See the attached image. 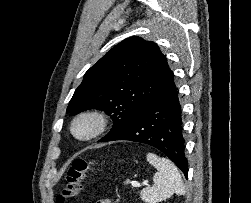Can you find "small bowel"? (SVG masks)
<instances>
[{"mask_svg":"<svg viewBox=\"0 0 251 203\" xmlns=\"http://www.w3.org/2000/svg\"><path fill=\"white\" fill-rule=\"evenodd\" d=\"M98 203H112V202L108 199H105V200H100Z\"/></svg>","mask_w":251,"mask_h":203,"instance_id":"small-bowel-1","label":"small bowel"}]
</instances>
